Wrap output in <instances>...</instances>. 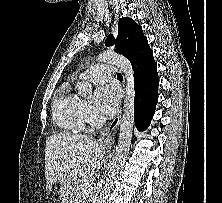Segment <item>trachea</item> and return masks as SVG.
<instances>
[{
  "mask_svg": "<svg viewBox=\"0 0 222 203\" xmlns=\"http://www.w3.org/2000/svg\"><path fill=\"white\" fill-rule=\"evenodd\" d=\"M117 78H118V79H123V76L119 73V74L117 75Z\"/></svg>",
  "mask_w": 222,
  "mask_h": 203,
  "instance_id": "obj_1",
  "label": "trachea"
}]
</instances>
